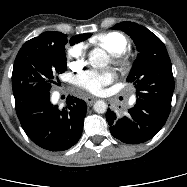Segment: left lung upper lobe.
Masks as SVG:
<instances>
[{"label":"left lung upper lobe","instance_id":"left-lung-upper-lobe-1","mask_svg":"<svg viewBox=\"0 0 187 187\" xmlns=\"http://www.w3.org/2000/svg\"><path fill=\"white\" fill-rule=\"evenodd\" d=\"M113 29L127 33L139 51L127 77V81L136 88V97L171 107L174 77L164 43L147 28L134 22H121Z\"/></svg>","mask_w":187,"mask_h":187}]
</instances>
